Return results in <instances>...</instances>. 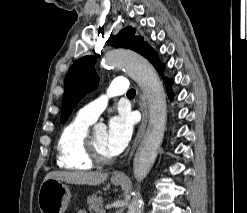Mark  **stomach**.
<instances>
[{
    "label": "stomach",
    "mask_w": 247,
    "mask_h": 213,
    "mask_svg": "<svg viewBox=\"0 0 247 213\" xmlns=\"http://www.w3.org/2000/svg\"><path fill=\"white\" fill-rule=\"evenodd\" d=\"M114 185H120L122 180L111 179ZM69 187L61 181L44 180L38 192V206L41 213H64L70 202Z\"/></svg>",
    "instance_id": "stomach-1"
}]
</instances>
